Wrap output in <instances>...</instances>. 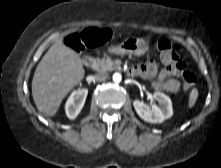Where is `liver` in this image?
Returning <instances> with one entry per match:
<instances>
[{
    "instance_id": "1",
    "label": "liver",
    "mask_w": 221,
    "mask_h": 168,
    "mask_svg": "<svg viewBox=\"0 0 221 168\" xmlns=\"http://www.w3.org/2000/svg\"><path fill=\"white\" fill-rule=\"evenodd\" d=\"M85 76L80 56L63 44L59 37L36 67L32 96L37 109L55 116L64 97Z\"/></svg>"
}]
</instances>
